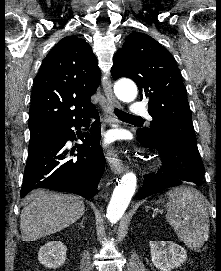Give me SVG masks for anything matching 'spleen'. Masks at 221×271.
Here are the masks:
<instances>
[{"label": "spleen", "instance_id": "3e777b00", "mask_svg": "<svg viewBox=\"0 0 221 271\" xmlns=\"http://www.w3.org/2000/svg\"><path fill=\"white\" fill-rule=\"evenodd\" d=\"M166 195L167 221L187 247L200 249L208 241L210 221L202 193L192 187H175Z\"/></svg>", "mask_w": 221, "mask_h": 271}]
</instances>
